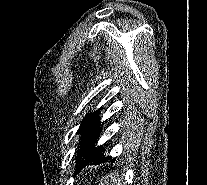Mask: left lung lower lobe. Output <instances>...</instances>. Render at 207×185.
Masks as SVG:
<instances>
[{"mask_svg":"<svg viewBox=\"0 0 207 185\" xmlns=\"http://www.w3.org/2000/svg\"><path fill=\"white\" fill-rule=\"evenodd\" d=\"M108 160H109V157H105L102 152L98 154L94 153V154L84 155L76 161V166L78 168L77 171L81 169L82 167L86 166L87 164H91V165L99 164L102 162H106Z\"/></svg>","mask_w":207,"mask_h":185,"instance_id":"0a47b994","label":"left lung lower lobe"}]
</instances>
